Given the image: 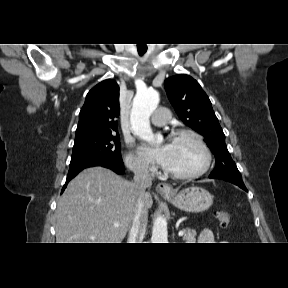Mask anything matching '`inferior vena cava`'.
<instances>
[{"label": "inferior vena cava", "instance_id": "1", "mask_svg": "<svg viewBox=\"0 0 288 288\" xmlns=\"http://www.w3.org/2000/svg\"><path fill=\"white\" fill-rule=\"evenodd\" d=\"M134 184L136 188V202L129 229L128 243H142L148 222V210L144 205V195L152 185V178L144 164L134 168Z\"/></svg>", "mask_w": 288, "mask_h": 288}]
</instances>
